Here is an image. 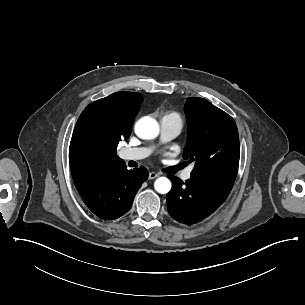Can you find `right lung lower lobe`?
Here are the masks:
<instances>
[{
	"label": "right lung lower lobe",
	"instance_id": "right-lung-lower-lobe-1",
	"mask_svg": "<svg viewBox=\"0 0 305 305\" xmlns=\"http://www.w3.org/2000/svg\"><path fill=\"white\" fill-rule=\"evenodd\" d=\"M147 178L145 168L128 170L124 165L107 170L78 191L96 216L113 220L130 209L138 189Z\"/></svg>",
	"mask_w": 305,
	"mask_h": 305
}]
</instances>
